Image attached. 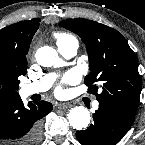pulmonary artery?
<instances>
[{
    "label": "pulmonary artery",
    "instance_id": "1",
    "mask_svg": "<svg viewBox=\"0 0 145 145\" xmlns=\"http://www.w3.org/2000/svg\"><path fill=\"white\" fill-rule=\"evenodd\" d=\"M57 47L60 54L63 57L69 59L76 55L78 50V42L76 39H69L66 41L58 42ZM54 78H55L54 74H49L42 77L39 81L23 85L20 89L21 96L28 97L33 94L46 91L53 83ZM98 106H99V102L94 101L93 108L97 109Z\"/></svg>",
    "mask_w": 145,
    "mask_h": 145
}]
</instances>
